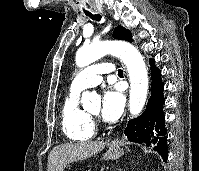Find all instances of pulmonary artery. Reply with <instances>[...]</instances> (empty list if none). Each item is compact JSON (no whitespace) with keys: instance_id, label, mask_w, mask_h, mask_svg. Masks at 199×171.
Masks as SVG:
<instances>
[{"instance_id":"pulmonary-artery-1","label":"pulmonary artery","mask_w":199,"mask_h":171,"mask_svg":"<svg viewBox=\"0 0 199 171\" xmlns=\"http://www.w3.org/2000/svg\"><path fill=\"white\" fill-rule=\"evenodd\" d=\"M113 68L109 64L96 63L82 69L73 79L70 89L81 91L85 88L98 85L105 74H109Z\"/></svg>"}]
</instances>
